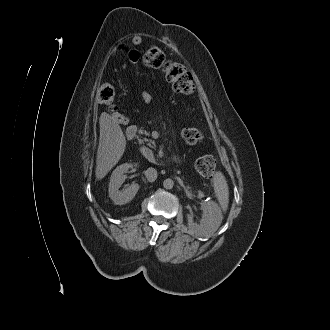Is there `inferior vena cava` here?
Instances as JSON below:
<instances>
[{"label":"inferior vena cava","instance_id":"602c4592","mask_svg":"<svg viewBox=\"0 0 330 330\" xmlns=\"http://www.w3.org/2000/svg\"><path fill=\"white\" fill-rule=\"evenodd\" d=\"M145 176L149 182H154L157 179V170L154 168H148L145 171Z\"/></svg>","mask_w":330,"mask_h":330}]
</instances>
